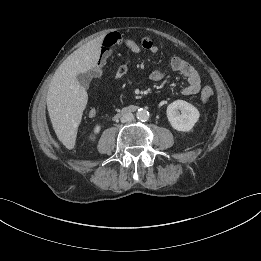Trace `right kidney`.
Masks as SVG:
<instances>
[{
    "label": "right kidney",
    "instance_id": "right-kidney-1",
    "mask_svg": "<svg viewBox=\"0 0 261 261\" xmlns=\"http://www.w3.org/2000/svg\"><path fill=\"white\" fill-rule=\"evenodd\" d=\"M100 130H101V126L97 124V125L94 127L93 132H94V134H98V133L100 132ZM94 138H95V137H92L91 139L94 140Z\"/></svg>",
    "mask_w": 261,
    "mask_h": 261
}]
</instances>
